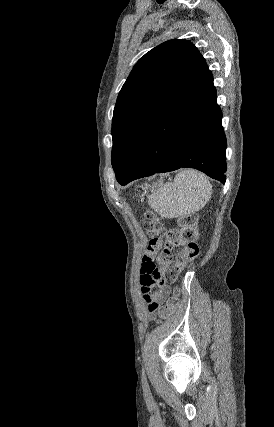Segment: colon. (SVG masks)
<instances>
[{
	"instance_id": "5ec220e1",
	"label": "colon",
	"mask_w": 274,
	"mask_h": 427,
	"mask_svg": "<svg viewBox=\"0 0 274 427\" xmlns=\"http://www.w3.org/2000/svg\"><path fill=\"white\" fill-rule=\"evenodd\" d=\"M195 223V217H185L175 226L163 228L156 214L153 211H148L145 213L144 229L148 236H160L162 248H180L181 254L188 263L199 255L198 231ZM170 301H181L180 288H175L174 293L170 294ZM151 316L152 318H172V306L162 305L161 309L151 311Z\"/></svg>"
}]
</instances>
